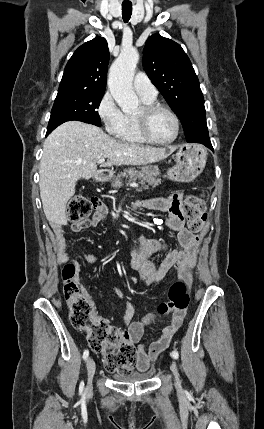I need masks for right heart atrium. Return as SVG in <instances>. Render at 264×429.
I'll return each mask as SVG.
<instances>
[{
	"instance_id": "right-heart-atrium-1",
	"label": "right heart atrium",
	"mask_w": 264,
	"mask_h": 429,
	"mask_svg": "<svg viewBox=\"0 0 264 429\" xmlns=\"http://www.w3.org/2000/svg\"><path fill=\"white\" fill-rule=\"evenodd\" d=\"M96 113L110 135L117 136L123 129L126 115L121 111L110 92L104 93L101 97Z\"/></svg>"
}]
</instances>
